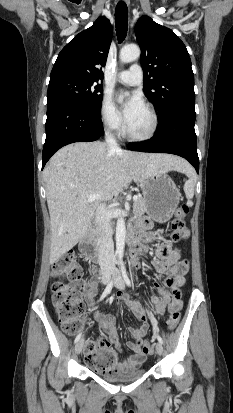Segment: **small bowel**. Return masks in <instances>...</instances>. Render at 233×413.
<instances>
[{"instance_id": "c3829d8e", "label": "small bowel", "mask_w": 233, "mask_h": 413, "mask_svg": "<svg viewBox=\"0 0 233 413\" xmlns=\"http://www.w3.org/2000/svg\"><path fill=\"white\" fill-rule=\"evenodd\" d=\"M138 227L140 229H148L150 222L148 220H142L139 222ZM160 234H149L146 236L147 241L160 240ZM149 251L147 245L139 247V256L143 252ZM155 259L153 265L158 273L166 276L164 285L160 286L155 283L157 295L152 298L154 304V312L161 316L163 315L169 305L170 310L176 306V303L181 308V293L180 288L185 282V274L188 271V262L180 260L179 250L172 249L167 241H162L154 251ZM96 281H91L84 289V298L88 303L91 310H95L94 298L96 295ZM119 304H124L132 314L141 322L139 328H128L129 334L135 339V341H129L126 343V347L133 352L127 360L117 362L118 371H125L127 369L139 367L145 360L147 353L143 350V337L146 335L148 324V311L147 309L136 300L131 299L127 295L119 294L117 297ZM95 318L106 332V336L100 338L98 342L102 343L104 347L110 348L114 345L117 352L122 351V346L118 340V331L116 327L115 318L104 312H95ZM111 349V348H110ZM115 352V351H114ZM116 354V353H115ZM87 359V354H86Z\"/></svg>"}]
</instances>
